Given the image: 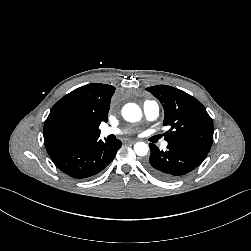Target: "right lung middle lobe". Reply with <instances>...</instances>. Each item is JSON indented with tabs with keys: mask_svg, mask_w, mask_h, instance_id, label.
Segmentation results:
<instances>
[{
	"mask_svg": "<svg viewBox=\"0 0 251 251\" xmlns=\"http://www.w3.org/2000/svg\"><path fill=\"white\" fill-rule=\"evenodd\" d=\"M59 131L65 136H71L76 132V126L71 122H63L59 125Z\"/></svg>",
	"mask_w": 251,
	"mask_h": 251,
	"instance_id": "obj_1",
	"label": "right lung middle lobe"
}]
</instances>
